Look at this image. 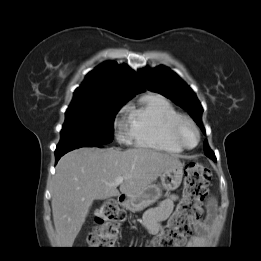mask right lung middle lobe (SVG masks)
I'll use <instances>...</instances> for the list:
<instances>
[{"instance_id": "right-lung-middle-lobe-1", "label": "right lung middle lobe", "mask_w": 261, "mask_h": 261, "mask_svg": "<svg viewBox=\"0 0 261 261\" xmlns=\"http://www.w3.org/2000/svg\"><path fill=\"white\" fill-rule=\"evenodd\" d=\"M128 100L115 96L73 99L56 149L112 142L114 117Z\"/></svg>"}]
</instances>
